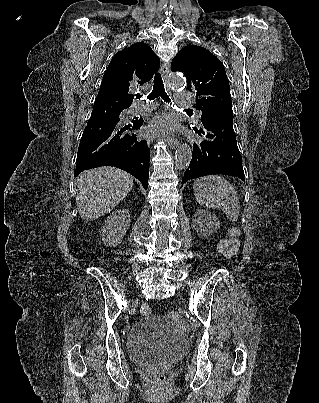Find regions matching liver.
<instances>
[{"mask_svg":"<svg viewBox=\"0 0 319 403\" xmlns=\"http://www.w3.org/2000/svg\"><path fill=\"white\" fill-rule=\"evenodd\" d=\"M133 187V178L113 167L85 171L77 178L76 205L81 218L92 221L111 212Z\"/></svg>","mask_w":319,"mask_h":403,"instance_id":"liver-1","label":"liver"}]
</instances>
